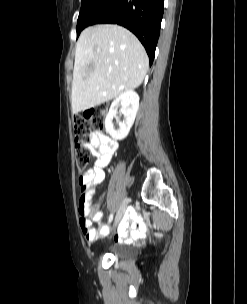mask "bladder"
Masks as SVG:
<instances>
[{"mask_svg": "<svg viewBox=\"0 0 247 304\" xmlns=\"http://www.w3.org/2000/svg\"><path fill=\"white\" fill-rule=\"evenodd\" d=\"M135 254V251L132 247L123 245V244H117L112 248V255L116 259L120 260H126L133 257Z\"/></svg>", "mask_w": 247, "mask_h": 304, "instance_id": "bladder-1", "label": "bladder"}]
</instances>
